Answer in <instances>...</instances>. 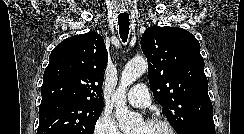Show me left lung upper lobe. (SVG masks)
I'll use <instances>...</instances> for the list:
<instances>
[{"label": "left lung upper lobe", "mask_w": 244, "mask_h": 134, "mask_svg": "<svg viewBox=\"0 0 244 134\" xmlns=\"http://www.w3.org/2000/svg\"><path fill=\"white\" fill-rule=\"evenodd\" d=\"M154 98L177 134L214 127L198 40L178 27H149L141 38Z\"/></svg>", "instance_id": "1"}]
</instances>
